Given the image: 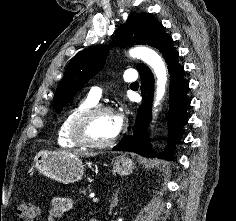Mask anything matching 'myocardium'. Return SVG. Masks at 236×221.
Listing matches in <instances>:
<instances>
[{
    "label": "myocardium",
    "mask_w": 236,
    "mask_h": 221,
    "mask_svg": "<svg viewBox=\"0 0 236 221\" xmlns=\"http://www.w3.org/2000/svg\"><path fill=\"white\" fill-rule=\"evenodd\" d=\"M104 112L113 114L112 109L105 105H94L80 113L71 127L70 135L72 140L79 146L85 148H105L116 143L119 139L118 133L107 141H95L88 135V126L92 119Z\"/></svg>",
    "instance_id": "f54148a6"
}]
</instances>
